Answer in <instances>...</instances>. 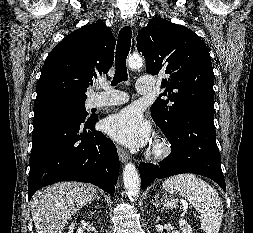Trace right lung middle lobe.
Returning <instances> with one entry per match:
<instances>
[{"mask_svg": "<svg viewBox=\"0 0 253 233\" xmlns=\"http://www.w3.org/2000/svg\"><path fill=\"white\" fill-rule=\"evenodd\" d=\"M53 112L67 113L78 119H85L87 116L85 100L51 98L34 105V117Z\"/></svg>", "mask_w": 253, "mask_h": 233, "instance_id": "dd1d6c3e", "label": "right lung middle lobe"}]
</instances>
